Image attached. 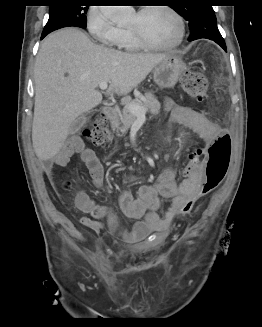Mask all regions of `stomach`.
<instances>
[{
    "label": "stomach",
    "instance_id": "0dacf381",
    "mask_svg": "<svg viewBox=\"0 0 262 327\" xmlns=\"http://www.w3.org/2000/svg\"><path fill=\"white\" fill-rule=\"evenodd\" d=\"M185 70L186 65L180 57L170 56L155 67L154 81L160 88H173Z\"/></svg>",
    "mask_w": 262,
    "mask_h": 327
}]
</instances>
